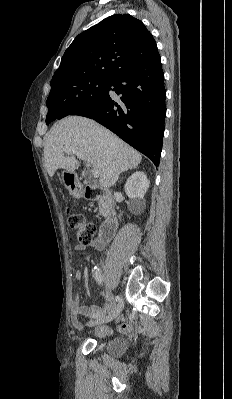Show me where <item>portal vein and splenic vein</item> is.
I'll list each match as a JSON object with an SVG mask.
<instances>
[{
	"mask_svg": "<svg viewBox=\"0 0 232 399\" xmlns=\"http://www.w3.org/2000/svg\"><path fill=\"white\" fill-rule=\"evenodd\" d=\"M63 152L64 154H67V156H69V154H75V156H78V158H81V160H85V158L81 156L80 152H77L75 148H70V146H64ZM92 176L93 178H99L98 170H92Z\"/></svg>",
	"mask_w": 232,
	"mask_h": 399,
	"instance_id": "18ae733b",
	"label": "portal vein and splenic vein"
}]
</instances>
